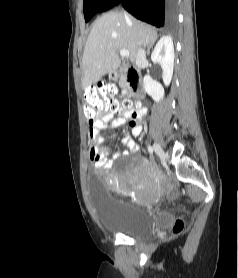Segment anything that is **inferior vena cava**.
<instances>
[{"label": "inferior vena cava", "mask_w": 238, "mask_h": 278, "mask_svg": "<svg viewBox=\"0 0 238 278\" xmlns=\"http://www.w3.org/2000/svg\"><path fill=\"white\" fill-rule=\"evenodd\" d=\"M135 63L136 66L140 69L144 67L146 63V54L143 48H138Z\"/></svg>", "instance_id": "602c4592"}]
</instances>
